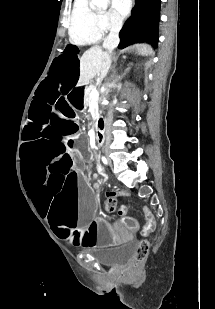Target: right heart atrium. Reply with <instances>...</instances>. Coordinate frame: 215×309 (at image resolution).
<instances>
[{"mask_svg": "<svg viewBox=\"0 0 215 309\" xmlns=\"http://www.w3.org/2000/svg\"><path fill=\"white\" fill-rule=\"evenodd\" d=\"M99 20L103 29L115 31L120 27V22L114 19L113 14H100Z\"/></svg>", "mask_w": 215, "mask_h": 309, "instance_id": "1", "label": "right heart atrium"}]
</instances>
